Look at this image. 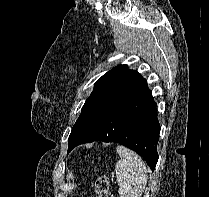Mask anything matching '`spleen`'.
Instances as JSON below:
<instances>
[{"label": "spleen", "mask_w": 209, "mask_h": 197, "mask_svg": "<svg viewBox=\"0 0 209 197\" xmlns=\"http://www.w3.org/2000/svg\"><path fill=\"white\" fill-rule=\"evenodd\" d=\"M120 160L115 165L120 197H141L148 175L142 158L124 146H117Z\"/></svg>", "instance_id": "spleen-1"}]
</instances>
